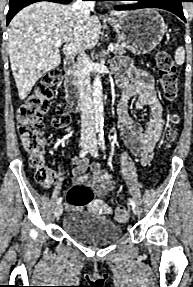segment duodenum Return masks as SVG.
Returning a JSON list of instances; mask_svg holds the SVG:
<instances>
[{
    "instance_id": "duodenum-1",
    "label": "duodenum",
    "mask_w": 193,
    "mask_h": 287,
    "mask_svg": "<svg viewBox=\"0 0 193 287\" xmlns=\"http://www.w3.org/2000/svg\"><path fill=\"white\" fill-rule=\"evenodd\" d=\"M75 58L67 56L64 62L66 74V98L73 111L80 108V93L74 78Z\"/></svg>"
}]
</instances>
